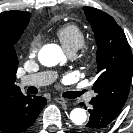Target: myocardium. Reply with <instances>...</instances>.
<instances>
[{
  "instance_id": "f54148a6",
  "label": "myocardium",
  "mask_w": 133,
  "mask_h": 133,
  "mask_svg": "<svg viewBox=\"0 0 133 133\" xmlns=\"http://www.w3.org/2000/svg\"><path fill=\"white\" fill-rule=\"evenodd\" d=\"M89 54V50L87 48H84L79 54L78 58L80 60H86L89 57Z\"/></svg>"
}]
</instances>
